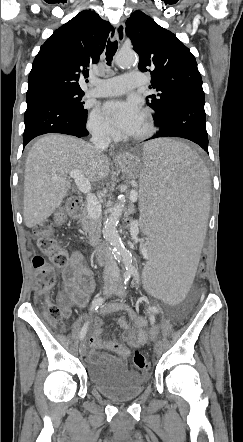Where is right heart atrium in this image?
<instances>
[{"instance_id":"obj_1","label":"right heart atrium","mask_w":243,"mask_h":442,"mask_svg":"<svg viewBox=\"0 0 243 442\" xmlns=\"http://www.w3.org/2000/svg\"><path fill=\"white\" fill-rule=\"evenodd\" d=\"M87 128L97 137L113 139L116 136L114 129L97 110L90 113L87 121Z\"/></svg>"}]
</instances>
